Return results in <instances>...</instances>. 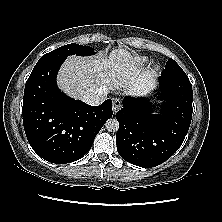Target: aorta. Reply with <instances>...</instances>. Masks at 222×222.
<instances>
[{
	"mask_svg": "<svg viewBox=\"0 0 222 222\" xmlns=\"http://www.w3.org/2000/svg\"><path fill=\"white\" fill-rule=\"evenodd\" d=\"M106 129L110 132H116L119 129V122L117 119H108L105 123Z\"/></svg>",
	"mask_w": 222,
	"mask_h": 222,
	"instance_id": "762f6f07",
	"label": "aorta"
}]
</instances>
